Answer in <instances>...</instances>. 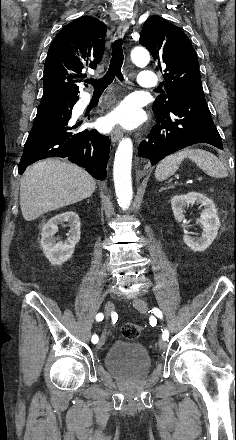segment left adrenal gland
<instances>
[{
  "label": "left adrenal gland",
  "mask_w": 236,
  "mask_h": 440,
  "mask_svg": "<svg viewBox=\"0 0 236 440\" xmlns=\"http://www.w3.org/2000/svg\"><path fill=\"white\" fill-rule=\"evenodd\" d=\"M170 188H173L172 186H169V187H162L161 189H160V191H163V190H166V189H170Z\"/></svg>",
  "instance_id": "1"
}]
</instances>
